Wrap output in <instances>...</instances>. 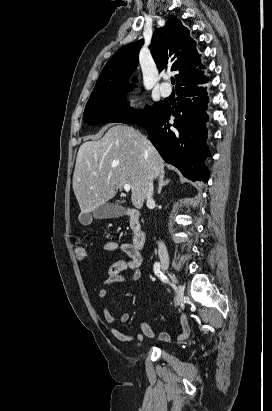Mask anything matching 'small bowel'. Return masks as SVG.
<instances>
[{"label":"small bowel","mask_w":272,"mask_h":411,"mask_svg":"<svg viewBox=\"0 0 272 411\" xmlns=\"http://www.w3.org/2000/svg\"><path fill=\"white\" fill-rule=\"evenodd\" d=\"M105 249L107 251H113V250H121L123 253L126 254L128 257L127 260H120L114 263L107 274V277L103 281V286L99 289L98 295L100 298H106L108 295L107 291V286L115 284V283H128V282H134L137 281L140 276V265L142 263V256L137 250L133 244L131 243H117V242H108L105 244ZM125 272H128V275H124ZM103 317L105 321L109 324H113L116 322L119 323H126L130 315L126 311H122L119 315L114 316L109 308L105 306L103 308ZM183 327V332L181 335L178 337V341H183L188 338L190 334V329L188 326V323L185 319H183L182 323ZM140 329L141 333H136V334H125L121 331H119L115 327L110 328L111 334L119 341L122 342H138L142 343L144 341L145 337L149 338H158L159 340H164V341H169L170 338L168 335H166L163 332L157 333L154 331V329L145 321H142L140 323Z\"/></svg>","instance_id":"obj_1"}]
</instances>
